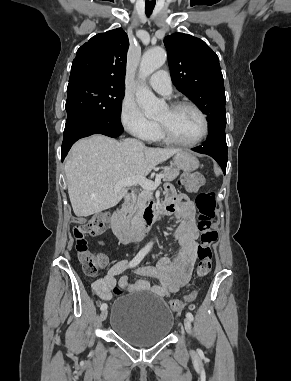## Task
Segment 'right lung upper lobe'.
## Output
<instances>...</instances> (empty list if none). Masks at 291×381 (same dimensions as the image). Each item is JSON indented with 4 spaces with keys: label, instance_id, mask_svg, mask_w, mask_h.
<instances>
[{
    "label": "right lung upper lobe",
    "instance_id": "right-lung-upper-lobe-1",
    "mask_svg": "<svg viewBox=\"0 0 291 381\" xmlns=\"http://www.w3.org/2000/svg\"><path fill=\"white\" fill-rule=\"evenodd\" d=\"M128 47V36L121 28L93 36L78 49L69 83L90 82L125 87Z\"/></svg>",
    "mask_w": 291,
    "mask_h": 381
}]
</instances>
